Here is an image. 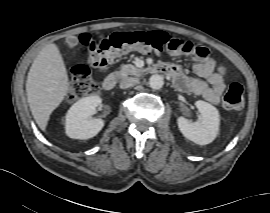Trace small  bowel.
I'll list each match as a JSON object with an SVG mask.
<instances>
[{"label":"small bowel","mask_w":270,"mask_h":213,"mask_svg":"<svg viewBox=\"0 0 270 213\" xmlns=\"http://www.w3.org/2000/svg\"><path fill=\"white\" fill-rule=\"evenodd\" d=\"M161 67L168 70L179 89L201 95L213 104L218 103L226 88L224 77L215 70L216 61L209 54L193 62L192 71L197 78L185 76L182 68L176 64H166ZM99 70L106 72L107 66L101 65Z\"/></svg>","instance_id":"small-bowel-1"}]
</instances>
